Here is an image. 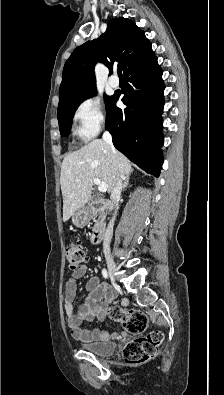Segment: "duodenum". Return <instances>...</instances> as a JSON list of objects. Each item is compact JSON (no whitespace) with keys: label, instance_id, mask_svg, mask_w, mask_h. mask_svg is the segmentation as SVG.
I'll use <instances>...</instances> for the list:
<instances>
[{"label":"duodenum","instance_id":"410a0bca","mask_svg":"<svg viewBox=\"0 0 224 395\" xmlns=\"http://www.w3.org/2000/svg\"><path fill=\"white\" fill-rule=\"evenodd\" d=\"M109 204L108 200L106 199H99L98 201H91L88 203V206L92 209L95 210L99 206H107ZM105 229L104 227L100 226L97 227L92 235H91V242L93 245H97L101 243L103 237H104Z\"/></svg>","mask_w":224,"mask_h":395}]
</instances>
